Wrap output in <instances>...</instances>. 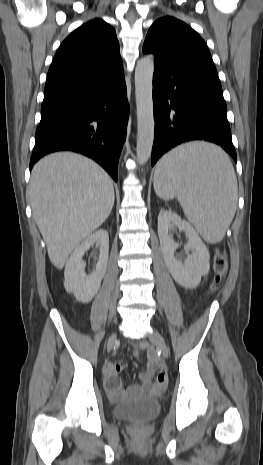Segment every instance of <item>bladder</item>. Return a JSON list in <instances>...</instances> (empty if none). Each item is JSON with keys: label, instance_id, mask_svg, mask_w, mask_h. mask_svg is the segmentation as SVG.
Here are the masks:
<instances>
[{"label": "bladder", "instance_id": "bladder-1", "mask_svg": "<svg viewBox=\"0 0 263 465\" xmlns=\"http://www.w3.org/2000/svg\"><path fill=\"white\" fill-rule=\"evenodd\" d=\"M161 411L160 402L152 397L140 396L117 403L113 415L117 419L135 422H148Z\"/></svg>", "mask_w": 263, "mask_h": 465}]
</instances>
